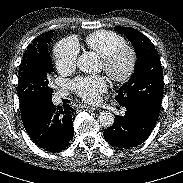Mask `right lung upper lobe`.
Returning a JSON list of instances; mask_svg holds the SVG:
<instances>
[{
    "mask_svg": "<svg viewBox=\"0 0 183 183\" xmlns=\"http://www.w3.org/2000/svg\"><path fill=\"white\" fill-rule=\"evenodd\" d=\"M51 36H52V31H48V32L40 35L37 39H34L33 42L31 43V45H29V47L25 51L21 64L23 62L27 61L34 52L39 51L40 48L42 47L44 41Z\"/></svg>",
    "mask_w": 183,
    "mask_h": 183,
    "instance_id": "right-lung-upper-lobe-1",
    "label": "right lung upper lobe"
}]
</instances>
